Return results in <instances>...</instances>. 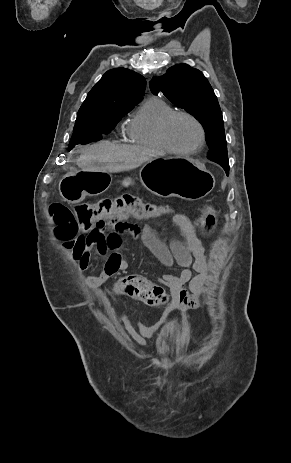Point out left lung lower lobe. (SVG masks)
<instances>
[{"label": "left lung lower lobe", "instance_id": "obj_1", "mask_svg": "<svg viewBox=\"0 0 291 463\" xmlns=\"http://www.w3.org/2000/svg\"><path fill=\"white\" fill-rule=\"evenodd\" d=\"M218 164H220L224 168L226 174L228 175L229 174V164L221 162V161H219Z\"/></svg>", "mask_w": 291, "mask_h": 463}]
</instances>
